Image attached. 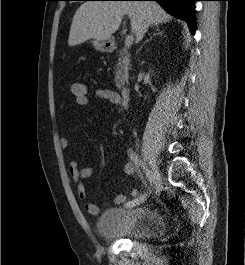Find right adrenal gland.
<instances>
[{"mask_svg": "<svg viewBox=\"0 0 245 265\" xmlns=\"http://www.w3.org/2000/svg\"><path fill=\"white\" fill-rule=\"evenodd\" d=\"M156 35H160V36L163 35V31H160V28L158 25L156 26V33H154L153 36H156ZM153 36L150 37V40L152 39ZM147 41H149V40H146V42Z\"/></svg>", "mask_w": 245, "mask_h": 265, "instance_id": "2a0ac1e0", "label": "right adrenal gland"}]
</instances>
